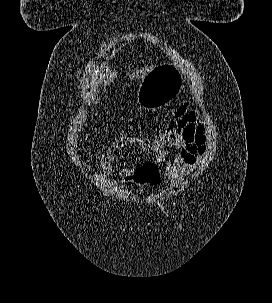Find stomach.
<instances>
[{"label":"stomach","instance_id":"1","mask_svg":"<svg viewBox=\"0 0 272 303\" xmlns=\"http://www.w3.org/2000/svg\"><path fill=\"white\" fill-rule=\"evenodd\" d=\"M183 78L172 63H163L151 70L137 91V103L147 110L168 105L181 92Z\"/></svg>","mask_w":272,"mask_h":303}]
</instances>
